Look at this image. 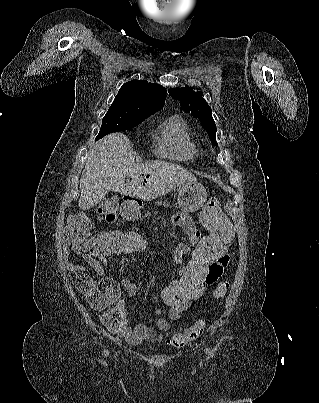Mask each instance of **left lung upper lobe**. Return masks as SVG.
Wrapping results in <instances>:
<instances>
[{
	"label": "left lung upper lobe",
	"instance_id": "5c2ea615",
	"mask_svg": "<svg viewBox=\"0 0 319 403\" xmlns=\"http://www.w3.org/2000/svg\"><path fill=\"white\" fill-rule=\"evenodd\" d=\"M171 97L180 101V106L191 113L192 116L199 118L203 127L207 130L211 142H216V125L212 117V111L208 103L203 99L201 91L195 92L191 87L173 88L168 90Z\"/></svg>",
	"mask_w": 319,
	"mask_h": 403
}]
</instances>
